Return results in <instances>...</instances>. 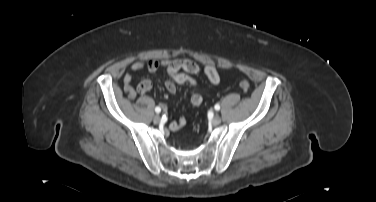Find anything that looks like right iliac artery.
Instances as JSON below:
<instances>
[{
    "instance_id": "right-iliac-artery-1",
    "label": "right iliac artery",
    "mask_w": 376,
    "mask_h": 202,
    "mask_svg": "<svg viewBox=\"0 0 376 202\" xmlns=\"http://www.w3.org/2000/svg\"><path fill=\"white\" fill-rule=\"evenodd\" d=\"M155 112H156V113H160V112H161V108H160V107H156V108H155Z\"/></svg>"
}]
</instances>
